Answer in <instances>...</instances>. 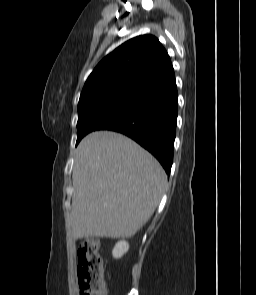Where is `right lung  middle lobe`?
Segmentation results:
<instances>
[{"instance_id":"1","label":"right lung middle lobe","mask_w":256,"mask_h":295,"mask_svg":"<svg viewBox=\"0 0 256 295\" xmlns=\"http://www.w3.org/2000/svg\"><path fill=\"white\" fill-rule=\"evenodd\" d=\"M136 93H125L109 97L91 105H78L77 143L89 132L98 130L106 121L121 112Z\"/></svg>"}]
</instances>
